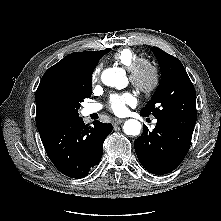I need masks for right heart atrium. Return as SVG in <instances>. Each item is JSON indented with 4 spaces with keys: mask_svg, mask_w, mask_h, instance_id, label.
Returning a JSON list of instances; mask_svg holds the SVG:
<instances>
[{
    "mask_svg": "<svg viewBox=\"0 0 221 221\" xmlns=\"http://www.w3.org/2000/svg\"><path fill=\"white\" fill-rule=\"evenodd\" d=\"M99 77H100V67H97L91 76V82L93 85L98 83Z\"/></svg>",
    "mask_w": 221,
    "mask_h": 221,
    "instance_id": "d8ad5b80",
    "label": "right heart atrium"
}]
</instances>
